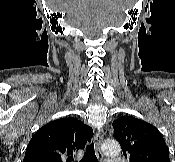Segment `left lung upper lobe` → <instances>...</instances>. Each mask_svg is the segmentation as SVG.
<instances>
[{"mask_svg": "<svg viewBox=\"0 0 175 162\" xmlns=\"http://www.w3.org/2000/svg\"><path fill=\"white\" fill-rule=\"evenodd\" d=\"M114 137L131 162H170L169 149L156 127L132 116L113 122Z\"/></svg>", "mask_w": 175, "mask_h": 162, "instance_id": "obj_1", "label": "left lung upper lobe"}]
</instances>
